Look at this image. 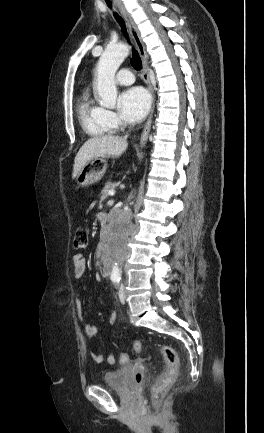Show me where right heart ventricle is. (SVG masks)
Listing matches in <instances>:
<instances>
[{
    "label": "right heart ventricle",
    "instance_id": "e07e8e85",
    "mask_svg": "<svg viewBox=\"0 0 264 433\" xmlns=\"http://www.w3.org/2000/svg\"><path fill=\"white\" fill-rule=\"evenodd\" d=\"M77 111L80 124L89 136L102 137L113 131L114 127L107 120L106 110L89 94L81 95Z\"/></svg>",
    "mask_w": 264,
    "mask_h": 433
}]
</instances>
